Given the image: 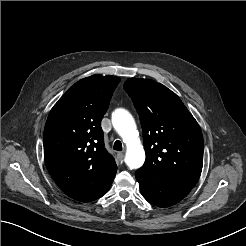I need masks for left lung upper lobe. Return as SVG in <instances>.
I'll return each instance as SVG.
<instances>
[{
  "label": "left lung upper lobe",
  "mask_w": 246,
  "mask_h": 246,
  "mask_svg": "<svg viewBox=\"0 0 246 246\" xmlns=\"http://www.w3.org/2000/svg\"><path fill=\"white\" fill-rule=\"evenodd\" d=\"M124 88L140 116L146 152L137 172L193 188L203 166L200 127L180 98L153 80L130 78Z\"/></svg>",
  "instance_id": "5c2ea615"
}]
</instances>
